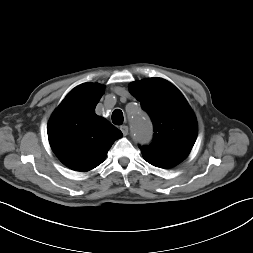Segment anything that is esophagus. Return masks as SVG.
I'll return each instance as SVG.
<instances>
[{
	"label": "esophagus",
	"mask_w": 253,
	"mask_h": 253,
	"mask_svg": "<svg viewBox=\"0 0 253 253\" xmlns=\"http://www.w3.org/2000/svg\"><path fill=\"white\" fill-rule=\"evenodd\" d=\"M120 130L122 131L124 136H126L128 134V126H126V125L121 126Z\"/></svg>",
	"instance_id": "esophagus-1"
}]
</instances>
